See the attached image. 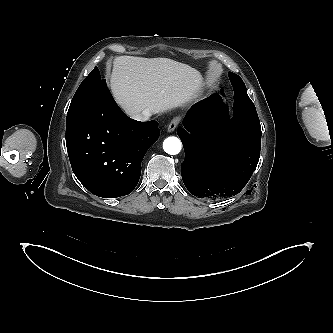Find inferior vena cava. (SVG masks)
<instances>
[{
  "label": "inferior vena cava",
  "mask_w": 333,
  "mask_h": 333,
  "mask_svg": "<svg viewBox=\"0 0 333 333\" xmlns=\"http://www.w3.org/2000/svg\"><path fill=\"white\" fill-rule=\"evenodd\" d=\"M151 115V112L146 109L143 110L141 113L133 115L132 118L138 121H147Z\"/></svg>",
  "instance_id": "inferior-vena-cava-1"
}]
</instances>
